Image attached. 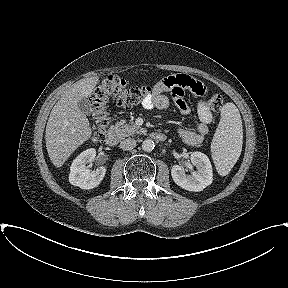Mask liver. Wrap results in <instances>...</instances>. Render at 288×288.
Instances as JSON below:
<instances>
[{
	"mask_svg": "<svg viewBox=\"0 0 288 288\" xmlns=\"http://www.w3.org/2000/svg\"><path fill=\"white\" fill-rule=\"evenodd\" d=\"M98 81V76L77 81L62 94L50 113L45 142L49 158L57 168L92 135L89 120L78 102L91 96Z\"/></svg>",
	"mask_w": 288,
	"mask_h": 288,
	"instance_id": "liver-1",
	"label": "liver"
}]
</instances>
